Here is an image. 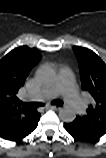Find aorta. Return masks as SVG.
<instances>
[{
	"label": "aorta",
	"mask_w": 106,
	"mask_h": 158,
	"mask_svg": "<svg viewBox=\"0 0 106 158\" xmlns=\"http://www.w3.org/2000/svg\"><path fill=\"white\" fill-rule=\"evenodd\" d=\"M54 75V71L52 69H48L46 72H45V79L49 80L51 78H53L52 76ZM60 118L65 121V122H72L75 117H76V110L71 107V106H65L64 108H62L60 110Z\"/></svg>",
	"instance_id": "1"
}]
</instances>
